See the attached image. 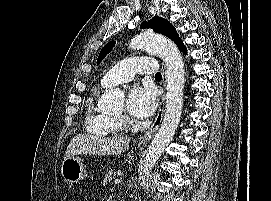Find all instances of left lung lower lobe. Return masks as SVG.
<instances>
[{
    "label": "left lung lower lobe",
    "instance_id": "0a47b994",
    "mask_svg": "<svg viewBox=\"0 0 271 201\" xmlns=\"http://www.w3.org/2000/svg\"><path fill=\"white\" fill-rule=\"evenodd\" d=\"M184 53L186 52V48L184 45H182V47L180 48Z\"/></svg>",
    "mask_w": 271,
    "mask_h": 201
}]
</instances>
